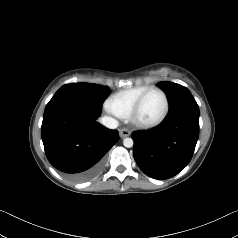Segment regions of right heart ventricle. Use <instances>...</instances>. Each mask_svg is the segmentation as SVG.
<instances>
[{"instance_id": "right-heart-ventricle-1", "label": "right heart ventricle", "mask_w": 238, "mask_h": 238, "mask_svg": "<svg viewBox=\"0 0 238 238\" xmlns=\"http://www.w3.org/2000/svg\"><path fill=\"white\" fill-rule=\"evenodd\" d=\"M148 88H150L148 85L134 86L113 94L109 100L118 116L128 117L136 100Z\"/></svg>"}]
</instances>
